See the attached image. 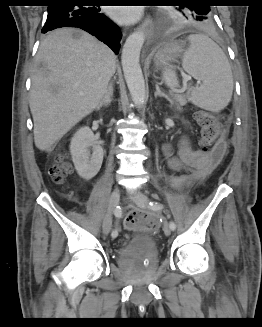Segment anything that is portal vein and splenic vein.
Instances as JSON below:
<instances>
[{
	"label": "portal vein and splenic vein",
	"instance_id": "obj_1",
	"mask_svg": "<svg viewBox=\"0 0 262 327\" xmlns=\"http://www.w3.org/2000/svg\"><path fill=\"white\" fill-rule=\"evenodd\" d=\"M191 79L190 76L184 75L183 77V83H187Z\"/></svg>",
	"mask_w": 262,
	"mask_h": 327
}]
</instances>
